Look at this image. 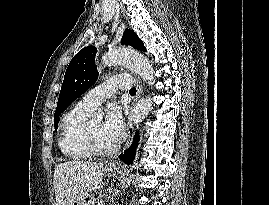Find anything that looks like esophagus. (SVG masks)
<instances>
[{
  "label": "esophagus",
  "mask_w": 269,
  "mask_h": 205,
  "mask_svg": "<svg viewBox=\"0 0 269 205\" xmlns=\"http://www.w3.org/2000/svg\"><path fill=\"white\" fill-rule=\"evenodd\" d=\"M134 81H135V85H136V95L134 97V100H133L132 104H134L141 97L142 92H143V86H142V82H141L140 78L135 76ZM133 130H134L133 123H132V121L130 119V116H128V120H127V140H126V143H125V146H124V150H126L129 147V145L131 144Z\"/></svg>",
  "instance_id": "34e87169"
}]
</instances>
